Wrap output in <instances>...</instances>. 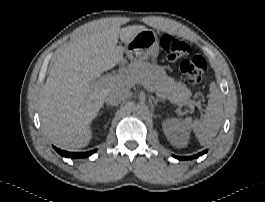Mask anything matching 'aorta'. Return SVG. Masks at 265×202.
I'll list each match as a JSON object with an SVG mask.
<instances>
[{"instance_id":"1","label":"aorta","mask_w":265,"mask_h":202,"mask_svg":"<svg viewBox=\"0 0 265 202\" xmlns=\"http://www.w3.org/2000/svg\"><path fill=\"white\" fill-rule=\"evenodd\" d=\"M132 110L137 115L143 116L148 113V106L144 102H139L133 105Z\"/></svg>"}]
</instances>
